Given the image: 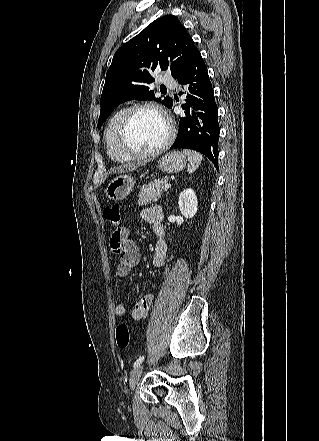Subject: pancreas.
<instances>
[{"label": "pancreas", "instance_id": "obj_1", "mask_svg": "<svg viewBox=\"0 0 319 441\" xmlns=\"http://www.w3.org/2000/svg\"><path fill=\"white\" fill-rule=\"evenodd\" d=\"M168 177L158 178L141 187L138 194V206L149 205L156 202L165 190Z\"/></svg>", "mask_w": 319, "mask_h": 441}]
</instances>
